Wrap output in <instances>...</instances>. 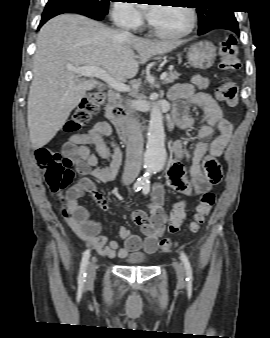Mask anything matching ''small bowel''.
<instances>
[{"label": "small bowel", "instance_id": "1", "mask_svg": "<svg viewBox=\"0 0 270 338\" xmlns=\"http://www.w3.org/2000/svg\"><path fill=\"white\" fill-rule=\"evenodd\" d=\"M209 80L201 75L193 77L190 83L175 85L169 94L173 102L175 112L170 119L171 123L179 125L182 129H192L196 122L201 123L198 131V142L195 144L191 163L188 167L190 181H187L186 169L182 159L186 156L184 139L180 138L173 146L174 161L166 173L168 187L188 197L204 194L211 190V186L220 180L221 172L213 173L202 168L204 160L221 157L229 145L233 135L232 126L224 119V109L220 102L206 90ZM194 105L202 110L197 117H187L181 109L186 104ZM226 121L227 126L220 127ZM218 131V135L211 139ZM113 132L112 125L106 121H98L87 133L72 135L63 145L62 155L70 159L78 174L79 180L68 188L63 197L57 201L60 209L67 218L70 228L99 255L112 259L116 256H124L127 252L144 251L147 254L156 252L159 237L165 222V213L162 207L164 189L160 183H155L152 189V200L148 205L150 215L146 218L143 210L136 209L130 212V218L141 225L144 239L131 233L127 228L121 227L120 234L124 239V245L118 241H108L101 235L102 226L98 220L93 219L89 212L80 204L85 194L93 197L98 206L107 210L109 202L97 191L93 182L112 180L121 164V153L116 145L107 144L106 137ZM95 147L96 153H92L90 146ZM99 158L106 160L107 165L97 167ZM145 216L144 221L142 220Z\"/></svg>", "mask_w": 270, "mask_h": 338}]
</instances>
